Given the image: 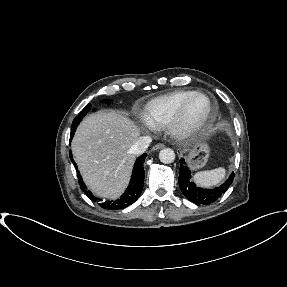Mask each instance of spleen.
Here are the masks:
<instances>
[{"label": "spleen", "instance_id": "1", "mask_svg": "<svg viewBox=\"0 0 287 287\" xmlns=\"http://www.w3.org/2000/svg\"><path fill=\"white\" fill-rule=\"evenodd\" d=\"M225 178V169L222 167L197 172L194 175L195 182L202 187H211L220 183Z\"/></svg>", "mask_w": 287, "mask_h": 287}]
</instances>
